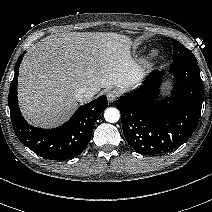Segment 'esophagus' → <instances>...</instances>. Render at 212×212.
<instances>
[{"mask_svg":"<svg viewBox=\"0 0 212 212\" xmlns=\"http://www.w3.org/2000/svg\"><path fill=\"white\" fill-rule=\"evenodd\" d=\"M118 97V94L115 90H110L108 93H107V99L109 102H114L116 100V98Z\"/></svg>","mask_w":212,"mask_h":212,"instance_id":"esophagus-1","label":"esophagus"}]
</instances>
